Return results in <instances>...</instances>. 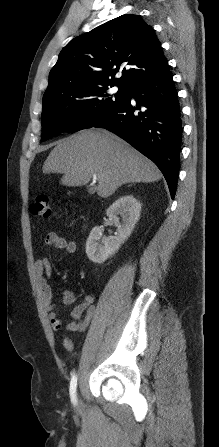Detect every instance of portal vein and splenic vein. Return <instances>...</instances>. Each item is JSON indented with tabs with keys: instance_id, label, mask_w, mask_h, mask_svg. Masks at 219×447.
<instances>
[{
	"instance_id": "portal-vein-and-splenic-vein-1",
	"label": "portal vein and splenic vein",
	"mask_w": 219,
	"mask_h": 447,
	"mask_svg": "<svg viewBox=\"0 0 219 447\" xmlns=\"http://www.w3.org/2000/svg\"><path fill=\"white\" fill-rule=\"evenodd\" d=\"M93 176H94L95 178L97 177V175H96V174H94Z\"/></svg>"
}]
</instances>
